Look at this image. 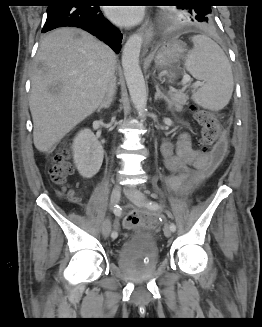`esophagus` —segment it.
Wrapping results in <instances>:
<instances>
[{
	"instance_id": "1",
	"label": "esophagus",
	"mask_w": 262,
	"mask_h": 327,
	"mask_svg": "<svg viewBox=\"0 0 262 327\" xmlns=\"http://www.w3.org/2000/svg\"><path fill=\"white\" fill-rule=\"evenodd\" d=\"M139 30L144 36V46L147 47L153 36L154 25L151 21H146Z\"/></svg>"
}]
</instances>
